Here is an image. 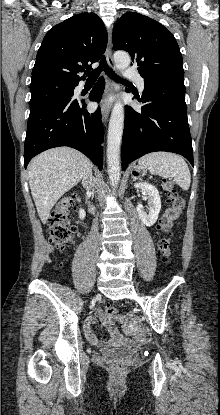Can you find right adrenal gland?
I'll use <instances>...</instances> for the list:
<instances>
[{
	"label": "right adrenal gland",
	"instance_id": "2a0ac1e0",
	"mask_svg": "<svg viewBox=\"0 0 220 415\" xmlns=\"http://www.w3.org/2000/svg\"><path fill=\"white\" fill-rule=\"evenodd\" d=\"M90 177H91L92 179H94V177H93V175H92V171H91V173H90Z\"/></svg>",
	"mask_w": 220,
	"mask_h": 415
}]
</instances>
